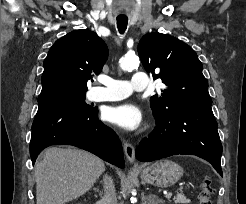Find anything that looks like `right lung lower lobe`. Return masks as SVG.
I'll use <instances>...</instances> for the list:
<instances>
[{
    "instance_id": "1",
    "label": "right lung lower lobe",
    "mask_w": 246,
    "mask_h": 204,
    "mask_svg": "<svg viewBox=\"0 0 246 204\" xmlns=\"http://www.w3.org/2000/svg\"><path fill=\"white\" fill-rule=\"evenodd\" d=\"M51 145H73L124 168L121 143L113 130L98 120L97 108L84 109L74 100L51 99L39 102L32 125V163Z\"/></svg>"
}]
</instances>
